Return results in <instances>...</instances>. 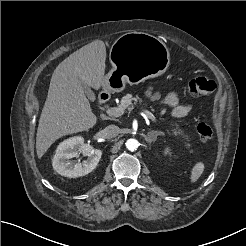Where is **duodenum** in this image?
Segmentation results:
<instances>
[{
	"label": "duodenum",
	"instance_id": "obj_1",
	"mask_svg": "<svg viewBox=\"0 0 246 246\" xmlns=\"http://www.w3.org/2000/svg\"><path fill=\"white\" fill-rule=\"evenodd\" d=\"M110 99V94L107 91H103L101 92V94L99 95V102L101 104H105L108 100Z\"/></svg>",
	"mask_w": 246,
	"mask_h": 246
}]
</instances>
